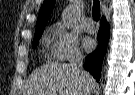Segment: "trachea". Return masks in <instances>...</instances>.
Masks as SVG:
<instances>
[{"label":"trachea","mask_w":135,"mask_h":95,"mask_svg":"<svg viewBox=\"0 0 135 95\" xmlns=\"http://www.w3.org/2000/svg\"><path fill=\"white\" fill-rule=\"evenodd\" d=\"M92 16L96 22L100 19V2H99V0H94Z\"/></svg>","instance_id":"trachea-1"}]
</instances>
